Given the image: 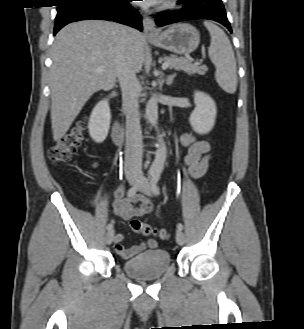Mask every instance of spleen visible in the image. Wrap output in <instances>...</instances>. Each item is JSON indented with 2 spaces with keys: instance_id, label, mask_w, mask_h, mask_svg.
Here are the masks:
<instances>
[{
  "instance_id": "spleen-1",
  "label": "spleen",
  "mask_w": 304,
  "mask_h": 329,
  "mask_svg": "<svg viewBox=\"0 0 304 329\" xmlns=\"http://www.w3.org/2000/svg\"><path fill=\"white\" fill-rule=\"evenodd\" d=\"M204 26L211 36L208 54L216 67L215 79L225 92L233 94L237 89V75L236 60L230 40L217 25L205 21Z\"/></svg>"
}]
</instances>
